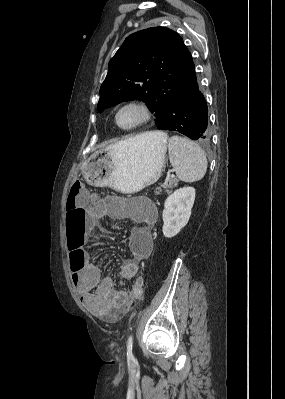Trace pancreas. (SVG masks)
<instances>
[{
  "instance_id": "obj_1",
  "label": "pancreas",
  "mask_w": 285,
  "mask_h": 399,
  "mask_svg": "<svg viewBox=\"0 0 285 399\" xmlns=\"http://www.w3.org/2000/svg\"><path fill=\"white\" fill-rule=\"evenodd\" d=\"M177 185H178V180L177 179L168 178L167 180H165V182L163 184V187L167 191V193H170L171 189H173Z\"/></svg>"
}]
</instances>
